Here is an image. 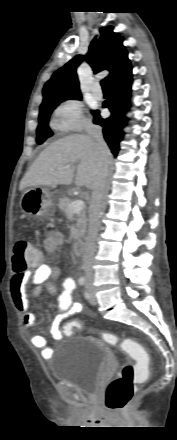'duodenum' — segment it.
<instances>
[{
  "label": "duodenum",
  "mask_w": 177,
  "mask_h": 440,
  "mask_svg": "<svg viewBox=\"0 0 177 440\" xmlns=\"http://www.w3.org/2000/svg\"><path fill=\"white\" fill-rule=\"evenodd\" d=\"M73 251L76 255H82L84 252V243L82 240H77L73 244Z\"/></svg>",
  "instance_id": "410a0bca"
}]
</instances>
